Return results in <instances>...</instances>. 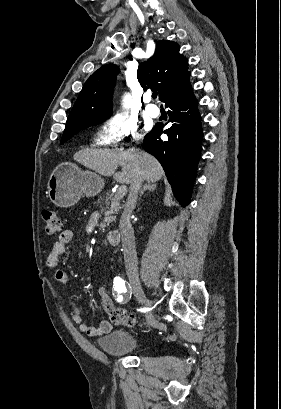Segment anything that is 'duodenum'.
<instances>
[{
    "mask_svg": "<svg viewBox=\"0 0 281 409\" xmlns=\"http://www.w3.org/2000/svg\"><path fill=\"white\" fill-rule=\"evenodd\" d=\"M107 240L111 245H118L121 241V233L117 230H112L107 234Z\"/></svg>",
    "mask_w": 281,
    "mask_h": 409,
    "instance_id": "1",
    "label": "duodenum"
}]
</instances>
